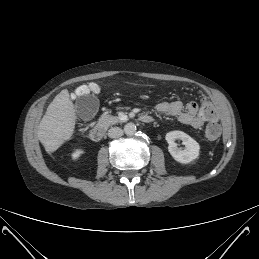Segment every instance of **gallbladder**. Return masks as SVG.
Segmentation results:
<instances>
[{
  "instance_id": "1",
  "label": "gallbladder",
  "mask_w": 259,
  "mask_h": 259,
  "mask_svg": "<svg viewBox=\"0 0 259 259\" xmlns=\"http://www.w3.org/2000/svg\"><path fill=\"white\" fill-rule=\"evenodd\" d=\"M77 108L84 120H91L95 117L96 111L99 108V101L96 96L89 95L77 102Z\"/></svg>"
}]
</instances>
